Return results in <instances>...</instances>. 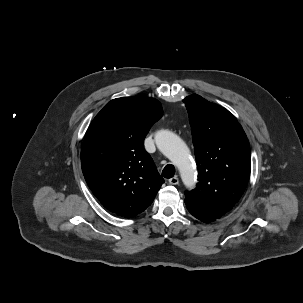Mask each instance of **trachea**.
<instances>
[{
  "mask_svg": "<svg viewBox=\"0 0 303 303\" xmlns=\"http://www.w3.org/2000/svg\"><path fill=\"white\" fill-rule=\"evenodd\" d=\"M174 174H175V167L172 164L166 165L162 171V176L164 178H172Z\"/></svg>",
  "mask_w": 303,
  "mask_h": 303,
  "instance_id": "1",
  "label": "trachea"
}]
</instances>
